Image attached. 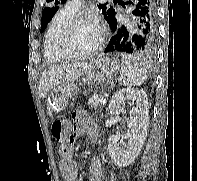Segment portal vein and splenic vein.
I'll return each mask as SVG.
<instances>
[{
  "mask_svg": "<svg viewBox=\"0 0 197 181\" xmlns=\"http://www.w3.org/2000/svg\"><path fill=\"white\" fill-rule=\"evenodd\" d=\"M100 103L105 104L106 103V98H101Z\"/></svg>",
  "mask_w": 197,
  "mask_h": 181,
  "instance_id": "obj_1",
  "label": "portal vein and splenic vein"
}]
</instances>
